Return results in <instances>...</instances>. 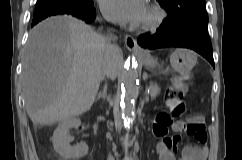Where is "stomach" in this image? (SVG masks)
Segmentation results:
<instances>
[{
    "mask_svg": "<svg viewBox=\"0 0 242 160\" xmlns=\"http://www.w3.org/2000/svg\"><path fill=\"white\" fill-rule=\"evenodd\" d=\"M141 60L148 68H155L158 65L157 61L149 55L141 57ZM196 62V54L189 49L177 48L170 55L172 67L180 74H187L195 66Z\"/></svg>",
    "mask_w": 242,
    "mask_h": 160,
    "instance_id": "1",
    "label": "stomach"
}]
</instances>
